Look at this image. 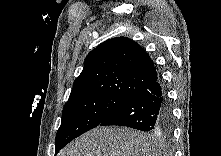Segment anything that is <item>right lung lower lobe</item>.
<instances>
[{
	"mask_svg": "<svg viewBox=\"0 0 221 156\" xmlns=\"http://www.w3.org/2000/svg\"><path fill=\"white\" fill-rule=\"evenodd\" d=\"M172 120L167 93L157 80L129 97L100 126L119 125L141 131L169 132Z\"/></svg>",
	"mask_w": 221,
	"mask_h": 156,
	"instance_id": "98d812e1",
	"label": "right lung lower lobe"
}]
</instances>
